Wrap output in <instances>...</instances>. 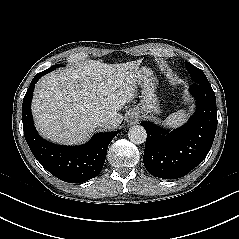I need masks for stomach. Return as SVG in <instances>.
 I'll return each instance as SVG.
<instances>
[{
  "instance_id": "obj_1",
  "label": "stomach",
  "mask_w": 239,
  "mask_h": 239,
  "mask_svg": "<svg viewBox=\"0 0 239 239\" xmlns=\"http://www.w3.org/2000/svg\"><path fill=\"white\" fill-rule=\"evenodd\" d=\"M156 78L152 71L145 69L144 78L139 80L138 84L141 86L142 99L140 103L133 109L138 115L147 116L160 112L159 101L156 96Z\"/></svg>"
}]
</instances>
